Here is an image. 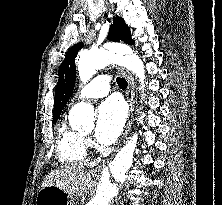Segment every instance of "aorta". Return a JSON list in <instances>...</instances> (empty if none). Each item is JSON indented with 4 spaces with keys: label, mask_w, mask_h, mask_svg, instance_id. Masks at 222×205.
<instances>
[{
    "label": "aorta",
    "mask_w": 222,
    "mask_h": 205,
    "mask_svg": "<svg viewBox=\"0 0 222 205\" xmlns=\"http://www.w3.org/2000/svg\"><path fill=\"white\" fill-rule=\"evenodd\" d=\"M111 63L124 65L135 72L140 78L141 89L144 90L143 63L133 55L129 47L124 45L108 44L104 49L83 51L78 61L81 81L88 82L97 70ZM94 115V108L90 104L80 102L71 109L69 121L73 128L82 127L84 130H91L94 128ZM140 144L138 134H134L103 171L94 192V205H109L119 195L138 156Z\"/></svg>",
    "instance_id": "aorta-1"
}]
</instances>
